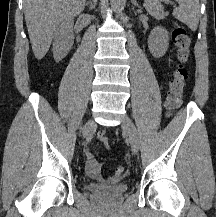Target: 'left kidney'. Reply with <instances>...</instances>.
<instances>
[{"mask_svg": "<svg viewBox=\"0 0 216 217\" xmlns=\"http://www.w3.org/2000/svg\"><path fill=\"white\" fill-rule=\"evenodd\" d=\"M169 45V35L166 29L155 27L148 37V47L155 58L165 55Z\"/></svg>", "mask_w": 216, "mask_h": 217, "instance_id": "left-kidney-1", "label": "left kidney"}]
</instances>
